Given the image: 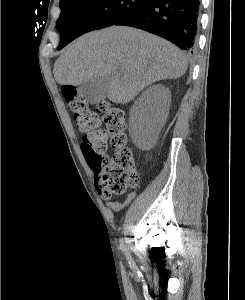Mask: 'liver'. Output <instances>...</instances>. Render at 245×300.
Returning <instances> with one entry per match:
<instances>
[{
	"label": "liver",
	"mask_w": 245,
	"mask_h": 300,
	"mask_svg": "<svg viewBox=\"0 0 245 300\" xmlns=\"http://www.w3.org/2000/svg\"><path fill=\"white\" fill-rule=\"evenodd\" d=\"M187 67L186 55L165 39L112 26L71 43L56 60L53 73L58 84L73 86L109 76L108 98L126 104L156 81L183 76Z\"/></svg>",
	"instance_id": "1"
}]
</instances>
